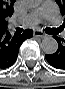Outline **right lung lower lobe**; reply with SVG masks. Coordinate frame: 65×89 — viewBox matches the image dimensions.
<instances>
[{
	"mask_svg": "<svg viewBox=\"0 0 65 89\" xmlns=\"http://www.w3.org/2000/svg\"><path fill=\"white\" fill-rule=\"evenodd\" d=\"M32 36L33 31L30 29L14 35L7 29L0 30V69L8 68L15 63L21 44Z\"/></svg>",
	"mask_w": 65,
	"mask_h": 89,
	"instance_id": "right-lung-lower-lobe-1",
	"label": "right lung lower lobe"
}]
</instances>
